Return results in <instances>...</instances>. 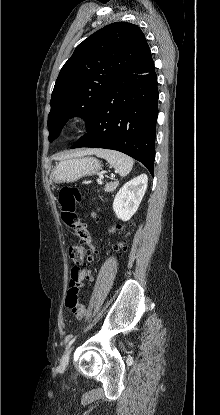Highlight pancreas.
Returning <instances> with one entry per match:
<instances>
[{
  "label": "pancreas",
  "mask_w": 220,
  "mask_h": 415,
  "mask_svg": "<svg viewBox=\"0 0 220 415\" xmlns=\"http://www.w3.org/2000/svg\"><path fill=\"white\" fill-rule=\"evenodd\" d=\"M117 186H118V182H117V181H115V182H110V183H107V184H106V186H105L104 190H105L106 192H113V191L117 188Z\"/></svg>",
  "instance_id": "cf45deb5"
}]
</instances>
